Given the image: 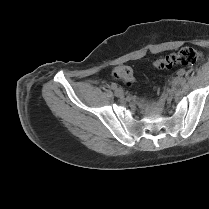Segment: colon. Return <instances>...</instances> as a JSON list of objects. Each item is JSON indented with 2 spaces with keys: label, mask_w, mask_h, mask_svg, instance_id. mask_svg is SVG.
Masks as SVG:
<instances>
[{
  "label": "colon",
  "mask_w": 209,
  "mask_h": 209,
  "mask_svg": "<svg viewBox=\"0 0 209 209\" xmlns=\"http://www.w3.org/2000/svg\"><path fill=\"white\" fill-rule=\"evenodd\" d=\"M202 54L191 47H185L181 50L159 58L154 61L153 66L156 69H170L174 65H194L201 59ZM113 77L124 82L127 86H132L135 83V77L132 69L122 65L113 71Z\"/></svg>",
  "instance_id": "colon-1"
}]
</instances>
